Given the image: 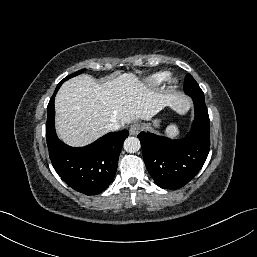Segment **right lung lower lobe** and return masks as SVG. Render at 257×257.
Returning <instances> with one entry per match:
<instances>
[{
  "label": "right lung lower lobe",
  "instance_id": "obj_1",
  "mask_svg": "<svg viewBox=\"0 0 257 257\" xmlns=\"http://www.w3.org/2000/svg\"><path fill=\"white\" fill-rule=\"evenodd\" d=\"M60 86L56 87L47 107L46 140L51 163L62 180L74 190L86 195L99 194L114 179L122 144L129 132H111L80 148L64 144L58 139L54 127V98Z\"/></svg>",
  "mask_w": 257,
  "mask_h": 257
}]
</instances>
